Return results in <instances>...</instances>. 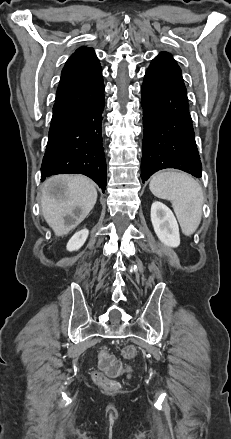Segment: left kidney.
<instances>
[{"mask_svg": "<svg viewBox=\"0 0 231 439\" xmlns=\"http://www.w3.org/2000/svg\"><path fill=\"white\" fill-rule=\"evenodd\" d=\"M151 221L159 240L168 247H178L180 234L177 220L173 212L159 201L151 206Z\"/></svg>", "mask_w": 231, "mask_h": 439, "instance_id": "left-kidney-1", "label": "left kidney"}]
</instances>
